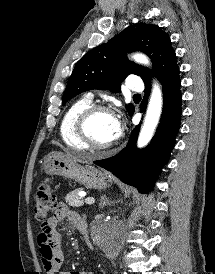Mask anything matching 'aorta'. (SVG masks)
I'll use <instances>...</instances> for the list:
<instances>
[{
  "label": "aorta",
  "mask_w": 215,
  "mask_h": 274,
  "mask_svg": "<svg viewBox=\"0 0 215 274\" xmlns=\"http://www.w3.org/2000/svg\"><path fill=\"white\" fill-rule=\"evenodd\" d=\"M132 58L137 63L144 64V65L149 64L148 58L142 54H134ZM162 103H163L162 92L159 86L155 84L153 87L151 98L147 108L144 124L142 126V129L138 137V142H137L138 147H144L150 142L160 119V115L162 111Z\"/></svg>",
  "instance_id": "1"
}]
</instances>
